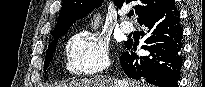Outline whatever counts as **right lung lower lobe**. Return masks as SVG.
Wrapping results in <instances>:
<instances>
[{"instance_id":"right-lung-lower-lobe-1","label":"right lung lower lobe","mask_w":205,"mask_h":87,"mask_svg":"<svg viewBox=\"0 0 205 87\" xmlns=\"http://www.w3.org/2000/svg\"><path fill=\"white\" fill-rule=\"evenodd\" d=\"M138 23L148 27L142 32L146 40L142 48L150 52L147 56H137L132 52L137 43L125 42L131 55L123 53L121 67L132 79H145L158 87H178L182 67V27L180 12L175 0H166L151 12L144 15Z\"/></svg>"}]
</instances>
